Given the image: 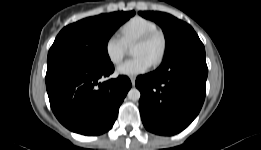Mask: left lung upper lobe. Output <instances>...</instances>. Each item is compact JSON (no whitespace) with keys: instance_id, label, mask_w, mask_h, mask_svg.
Returning a JSON list of instances; mask_svg holds the SVG:
<instances>
[{"instance_id":"5c2ea615","label":"left lung upper lobe","mask_w":261,"mask_h":150,"mask_svg":"<svg viewBox=\"0 0 261 150\" xmlns=\"http://www.w3.org/2000/svg\"><path fill=\"white\" fill-rule=\"evenodd\" d=\"M139 14L146 19L156 22L162 28L166 39L165 57L184 41L197 36L189 24L170 14L157 11H144L139 12Z\"/></svg>"}]
</instances>
